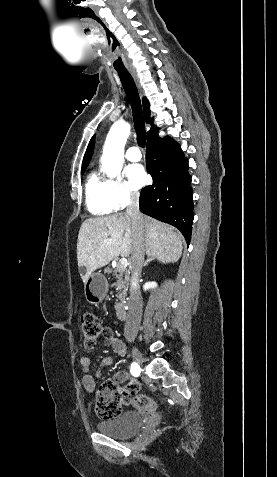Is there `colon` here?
<instances>
[{
    "mask_svg": "<svg viewBox=\"0 0 277 477\" xmlns=\"http://www.w3.org/2000/svg\"><path fill=\"white\" fill-rule=\"evenodd\" d=\"M84 345L92 349L103 332L100 318L93 312H85L80 319ZM133 386L120 387L113 380L105 381L99 388L95 402V410L99 417L108 419L119 415L123 405L132 404L141 412H152L156 402L147 395L135 394Z\"/></svg>",
    "mask_w": 277,
    "mask_h": 477,
    "instance_id": "colon-1",
    "label": "colon"
}]
</instances>
